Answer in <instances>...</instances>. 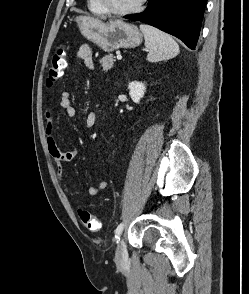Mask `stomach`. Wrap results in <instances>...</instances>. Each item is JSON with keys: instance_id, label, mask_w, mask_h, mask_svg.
Returning a JSON list of instances; mask_svg holds the SVG:
<instances>
[{"instance_id": "stomach-1", "label": "stomach", "mask_w": 249, "mask_h": 294, "mask_svg": "<svg viewBox=\"0 0 249 294\" xmlns=\"http://www.w3.org/2000/svg\"><path fill=\"white\" fill-rule=\"evenodd\" d=\"M76 22L82 35L106 52L118 48H133L142 42L138 27L122 20L104 23L90 16H79Z\"/></svg>"}]
</instances>
